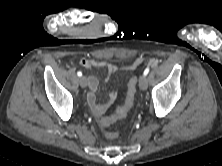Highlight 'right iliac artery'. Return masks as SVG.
<instances>
[{
  "label": "right iliac artery",
  "mask_w": 222,
  "mask_h": 166,
  "mask_svg": "<svg viewBox=\"0 0 222 166\" xmlns=\"http://www.w3.org/2000/svg\"><path fill=\"white\" fill-rule=\"evenodd\" d=\"M77 75H78L79 77H81V76H82V72H81V71H78V72H77Z\"/></svg>",
  "instance_id": "obj_1"
}]
</instances>
